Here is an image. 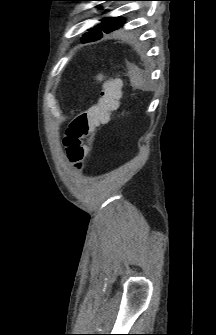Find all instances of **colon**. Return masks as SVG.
<instances>
[{
  "label": "colon",
  "mask_w": 216,
  "mask_h": 335,
  "mask_svg": "<svg viewBox=\"0 0 216 335\" xmlns=\"http://www.w3.org/2000/svg\"><path fill=\"white\" fill-rule=\"evenodd\" d=\"M98 79L102 83L98 101L71 121L63 138L67 157L77 167H82L89 154L84 139L92 135L98 126L108 123L110 115L119 106L122 79H108L104 73L99 74Z\"/></svg>",
  "instance_id": "obj_1"
}]
</instances>
